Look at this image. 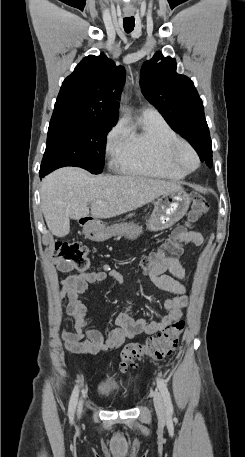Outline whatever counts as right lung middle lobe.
<instances>
[{"instance_id": "1", "label": "right lung middle lobe", "mask_w": 245, "mask_h": 457, "mask_svg": "<svg viewBox=\"0 0 245 457\" xmlns=\"http://www.w3.org/2000/svg\"><path fill=\"white\" fill-rule=\"evenodd\" d=\"M117 120L91 115L53 114L40 176L63 166H79L100 174L104 166L106 135Z\"/></svg>"}]
</instances>
